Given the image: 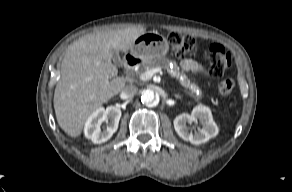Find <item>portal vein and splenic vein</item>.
Masks as SVG:
<instances>
[{
  "mask_svg": "<svg viewBox=\"0 0 292 192\" xmlns=\"http://www.w3.org/2000/svg\"><path fill=\"white\" fill-rule=\"evenodd\" d=\"M161 71L162 70L160 67H157V68H154L151 70H147L139 75V79L142 81L150 80L153 75H155L156 73L161 72Z\"/></svg>",
  "mask_w": 292,
  "mask_h": 192,
  "instance_id": "1",
  "label": "portal vein and splenic vein"
}]
</instances>
